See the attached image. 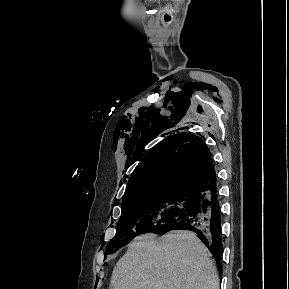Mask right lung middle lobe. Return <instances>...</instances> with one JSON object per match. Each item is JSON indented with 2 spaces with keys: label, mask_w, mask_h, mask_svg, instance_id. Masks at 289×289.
Wrapping results in <instances>:
<instances>
[{
  "label": "right lung middle lobe",
  "mask_w": 289,
  "mask_h": 289,
  "mask_svg": "<svg viewBox=\"0 0 289 289\" xmlns=\"http://www.w3.org/2000/svg\"><path fill=\"white\" fill-rule=\"evenodd\" d=\"M197 198L192 193L167 192L123 201L116 235L108 243L105 254L115 252L139 234L164 229L181 219L193 208Z\"/></svg>",
  "instance_id": "obj_1"
}]
</instances>
